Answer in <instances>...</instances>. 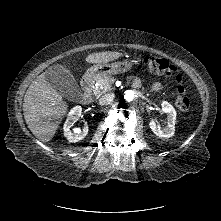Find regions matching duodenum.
<instances>
[{"mask_svg": "<svg viewBox=\"0 0 221 221\" xmlns=\"http://www.w3.org/2000/svg\"><path fill=\"white\" fill-rule=\"evenodd\" d=\"M92 78L90 76H84L80 81V86L82 89V95L80 98V102L83 104H89L91 102V85Z\"/></svg>", "mask_w": 221, "mask_h": 221, "instance_id": "410a0bca", "label": "duodenum"}]
</instances>
